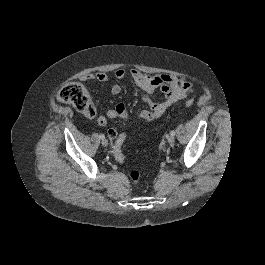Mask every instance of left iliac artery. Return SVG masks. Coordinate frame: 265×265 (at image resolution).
Returning <instances> with one entry per match:
<instances>
[{
	"mask_svg": "<svg viewBox=\"0 0 265 265\" xmlns=\"http://www.w3.org/2000/svg\"><path fill=\"white\" fill-rule=\"evenodd\" d=\"M170 134L174 136V135H175V131L172 130V131L170 132Z\"/></svg>",
	"mask_w": 265,
	"mask_h": 265,
	"instance_id": "44dca946",
	"label": "left iliac artery"
}]
</instances>
